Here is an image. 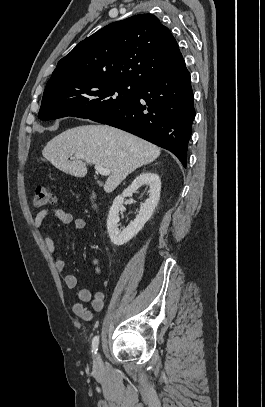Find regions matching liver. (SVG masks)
<instances>
[{
	"label": "liver",
	"mask_w": 265,
	"mask_h": 407,
	"mask_svg": "<svg viewBox=\"0 0 265 407\" xmlns=\"http://www.w3.org/2000/svg\"><path fill=\"white\" fill-rule=\"evenodd\" d=\"M160 153L161 149L156 145L108 125L68 129L50 140L42 150L47 161L75 177H85L87 165L109 169L110 175L104 184L107 193L115 190L134 170L153 162ZM77 154L83 158L68 160Z\"/></svg>",
	"instance_id": "obj_1"
}]
</instances>
